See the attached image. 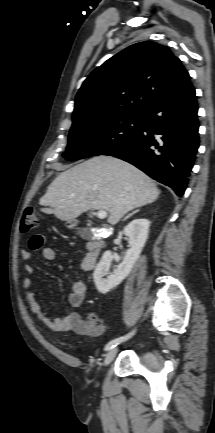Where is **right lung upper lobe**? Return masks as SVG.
Listing matches in <instances>:
<instances>
[{
	"label": "right lung upper lobe",
	"mask_w": 215,
	"mask_h": 433,
	"mask_svg": "<svg viewBox=\"0 0 215 433\" xmlns=\"http://www.w3.org/2000/svg\"><path fill=\"white\" fill-rule=\"evenodd\" d=\"M190 83L179 58L166 46L145 41L96 68L75 98L73 124L142 115L157 101Z\"/></svg>",
	"instance_id": "right-lung-upper-lobe-1"
}]
</instances>
